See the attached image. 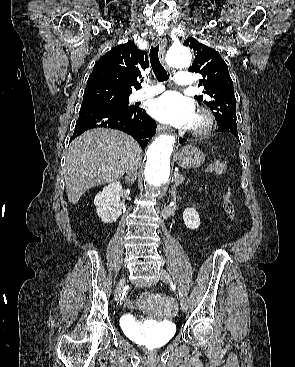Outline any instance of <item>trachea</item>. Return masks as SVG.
I'll list each match as a JSON object with an SVG mask.
<instances>
[{
	"mask_svg": "<svg viewBox=\"0 0 295 367\" xmlns=\"http://www.w3.org/2000/svg\"><path fill=\"white\" fill-rule=\"evenodd\" d=\"M159 45L152 46L150 49V63L153 70L154 75L157 78L158 82L166 81L168 80L169 76L167 75L166 70L162 66V64L159 61Z\"/></svg>",
	"mask_w": 295,
	"mask_h": 367,
	"instance_id": "3493384b",
	"label": "trachea"
}]
</instances>
